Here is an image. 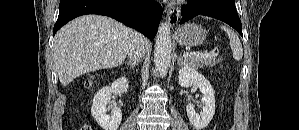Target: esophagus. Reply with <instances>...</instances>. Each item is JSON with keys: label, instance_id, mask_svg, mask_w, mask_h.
<instances>
[{"label": "esophagus", "instance_id": "obj_1", "mask_svg": "<svg viewBox=\"0 0 299 130\" xmlns=\"http://www.w3.org/2000/svg\"><path fill=\"white\" fill-rule=\"evenodd\" d=\"M179 20V13L177 10L175 9H168L167 10V21L169 26H174L175 24H177Z\"/></svg>", "mask_w": 299, "mask_h": 130}]
</instances>
